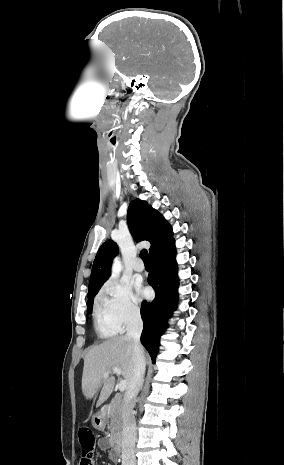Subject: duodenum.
Returning a JSON list of instances; mask_svg holds the SVG:
<instances>
[{
	"instance_id": "410a0bca",
	"label": "duodenum",
	"mask_w": 284,
	"mask_h": 465,
	"mask_svg": "<svg viewBox=\"0 0 284 465\" xmlns=\"http://www.w3.org/2000/svg\"><path fill=\"white\" fill-rule=\"evenodd\" d=\"M105 414V410H100L98 412V416L100 419L103 418ZM113 445H114V448L118 451V450H121L122 449V446H123V435L120 433V432H116L113 436Z\"/></svg>"
}]
</instances>
